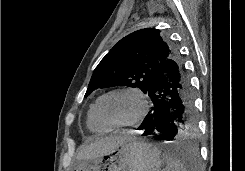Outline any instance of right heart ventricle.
I'll use <instances>...</instances> for the list:
<instances>
[{
    "label": "right heart ventricle",
    "mask_w": 245,
    "mask_h": 171,
    "mask_svg": "<svg viewBox=\"0 0 245 171\" xmlns=\"http://www.w3.org/2000/svg\"><path fill=\"white\" fill-rule=\"evenodd\" d=\"M96 101H94L89 108L88 114H87V127L96 133H106L109 131L110 128L103 125L97 118L95 107H96Z\"/></svg>",
    "instance_id": "obj_1"
}]
</instances>
